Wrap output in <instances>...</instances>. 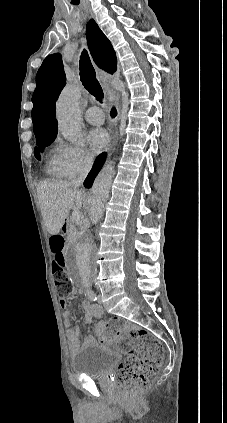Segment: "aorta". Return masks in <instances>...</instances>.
I'll return each mask as SVG.
<instances>
[{"instance_id":"obj_1","label":"aorta","mask_w":227,"mask_h":423,"mask_svg":"<svg viewBox=\"0 0 227 423\" xmlns=\"http://www.w3.org/2000/svg\"><path fill=\"white\" fill-rule=\"evenodd\" d=\"M80 92L73 85H67L56 102V118L59 131L70 142H78L81 133L79 109ZM115 174L114 162L107 163L92 186L90 221L97 224ZM65 267L69 279L80 286H88L97 272V252L92 241L86 237L69 246L65 254Z\"/></svg>"}]
</instances>
